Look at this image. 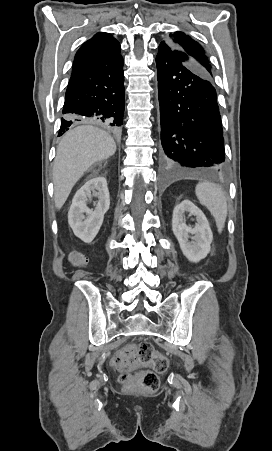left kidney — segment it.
Returning a JSON list of instances; mask_svg holds the SVG:
<instances>
[{"label":"left kidney","mask_w":272,"mask_h":451,"mask_svg":"<svg viewBox=\"0 0 272 451\" xmlns=\"http://www.w3.org/2000/svg\"><path fill=\"white\" fill-rule=\"evenodd\" d=\"M186 212H189V216H196V226L189 227L185 224L184 214ZM172 229L184 255L190 261H200V259L206 257L207 253H209L210 243L213 239L211 227L203 212L197 206H194L190 200H184V202L175 206L173 210ZM190 233H194V235H190ZM189 237L192 241H189Z\"/></svg>","instance_id":"obj_1"}]
</instances>
